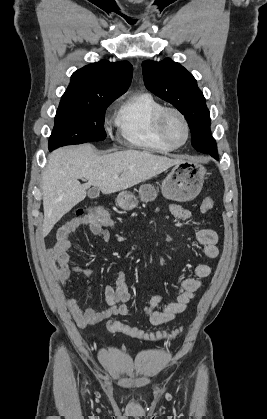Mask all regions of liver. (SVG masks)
Listing matches in <instances>:
<instances>
[{"label":"liver","instance_id":"6515ba94","mask_svg":"<svg viewBox=\"0 0 267 419\" xmlns=\"http://www.w3.org/2000/svg\"><path fill=\"white\" fill-rule=\"evenodd\" d=\"M181 160L139 150L99 156L90 144L55 150L48 156L42 173L43 236L85 199L88 187H97L103 194L115 193L144 182ZM83 178L88 180L86 184L79 182Z\"/></svg>","mask_w":267,"mask_h":419}]
</instances>
